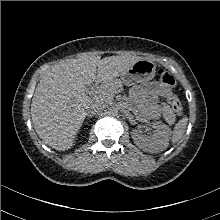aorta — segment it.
I'll list each match as a JSON object with an SVG mask.
<instances>
[{"mask_svg": "<svg viewBox=\"0 0 220 220\" xmlns=\"http://www.w3.org/2000/svg\"><path fill=\"white\" fill-rule=\"evenodd\" d=\"M110 112H111V114L116 115L118 113V109L112 108Z\"/></svg>", "mask_w": 220, "mask_h": 220, "instance_id": "aorta-1", "label": "aorta"}]
</instances>
